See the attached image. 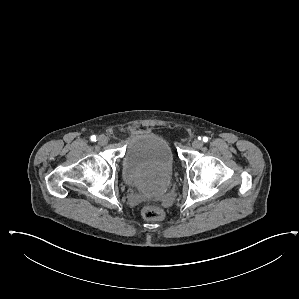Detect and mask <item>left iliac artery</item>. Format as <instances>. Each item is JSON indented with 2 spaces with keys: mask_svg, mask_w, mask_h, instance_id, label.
<instances>
[{
  "mask_svg": "<svg viewBox=\"0 0 299 299\" xmlns=\"http://www.w3.org/2000/svg\"><path fill=\"white\" fill-rule=\"evenodd\" d=\"M202 140H203V142H207L208 141V137L204 136Z\"/></svg>",
  "mask_w": 299,
  "mask_h": 299,
  "instance_id": "1",
  "label": "left iliac artery"
}]
</instances>
